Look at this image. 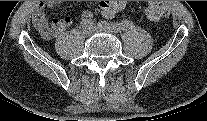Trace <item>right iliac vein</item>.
<instances>
[{"mask_svg":"<svg viewBox=\"0 0 207 121\" xmlns=\"http://www.w3.org/2000/svg\"><path fill=\"white\" fill-rule=\"evenodd\" d=\"M81 29H82L83 33L86 35H91L93 32V28H92L91 23L83 22L81 24Z\"/></svg>","mask_w":207,"mask_h":121,"instance_id":"obj_1","label":"right iliac vein"}]
</instances>
